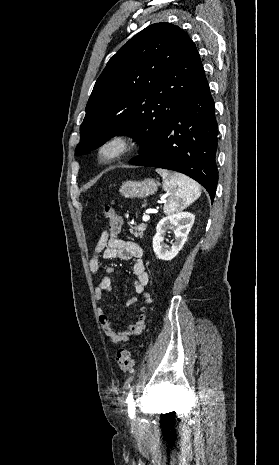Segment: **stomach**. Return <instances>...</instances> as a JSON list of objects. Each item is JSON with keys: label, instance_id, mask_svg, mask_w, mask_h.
<instances>
[{"label": "stomach", "instance_id": "1", "mask_svg": "<svg viewBox=\"0 0 279 465\" xmlns=\"http://www.w3.org/2000/svg\"><path fill=\"white\" fill-rule=\"evenodd\" d=\"M158 185V182L149 178L143 181H126L122 183L119 192L126 198H143L154 194Z\"/></svg>", "mask_w": 279, "mask_h": 465}]
</instances>
